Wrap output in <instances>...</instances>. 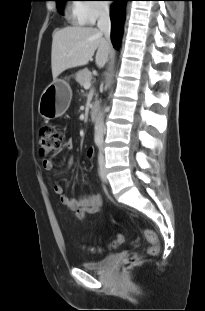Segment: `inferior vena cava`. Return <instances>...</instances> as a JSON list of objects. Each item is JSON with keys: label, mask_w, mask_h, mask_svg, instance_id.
I'll return each mask as SVG.
<instances>
[{"label": "inferior vena cava", "mask_w": 205, "mask_h": 311, "mask_svg": "<svg viewBox=\"0 0 205 311\" xmlns=\"http://www.w3.org/2000/svg\"><path fill=\"white\" fill-rule=\"evenodd\" d=\"M97 27L99 28L100 32L104 34L106 41L110 43L111 22L108 8L100 9Z\"/></svg>", "instance_id": "1"}]
</instances>
